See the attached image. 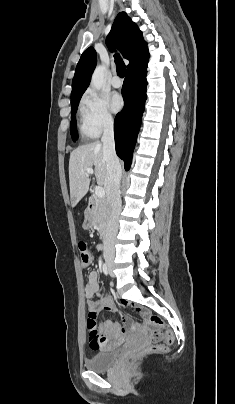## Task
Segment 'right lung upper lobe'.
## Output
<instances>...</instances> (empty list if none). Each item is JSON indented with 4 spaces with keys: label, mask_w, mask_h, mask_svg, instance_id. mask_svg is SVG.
I'll return each instance as SVG.
<instances>
[{
    "label": "right lung upper lobe",
    "mask_w": 235,
    "mask_h": 404,
    "mask_svg": "<svg viewBox=\"0 0 235 404\" xmlns=\"http://www.w3.org/2000/svg\"><path fill=\"white\" fill-rule=\"evenodd\" d=\"M106 44L111 51L115 47L118 48L124 58L129 60L127 71L149 59L147 44L142 37V32L125 12L117 15L107 36ZM96 63V51L93 47L87 48L76 67L72 82L71 102L80 100L90 83Z\"/></svg>",
    "instance_id": "right-lung-upper-lobe-1"
}]
</instances>
